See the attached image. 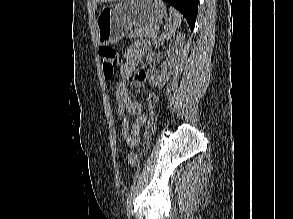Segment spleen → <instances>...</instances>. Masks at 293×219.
Here are the masks:
<instances>
[{"label": "spleen", "mask_w": 293, "mask_h": 219, "mask_svg": "<svg viewBox=\"0 0 293 219\" xmlns=\"http://www.w3.org/2000/svg\"><path fill=\"white\" fill-rule=\"evenodd\" d=\"M181 14L174 8L169 9V18L164 26L165 31L174 33L181 25Z\"/></svg>", "instance_id": "obj_1"}]
</instances>
